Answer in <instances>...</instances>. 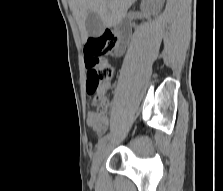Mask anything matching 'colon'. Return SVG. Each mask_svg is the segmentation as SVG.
I'll return each instance as SVG.
<instances>
[{
  "label": "colon",
  "mask_w": 223,
  "mask_h": 191,
  "mask_svg": "<svg viewBox=\"0 0 223 191\" xmlns=\"http://www.w3.org/2000/svg\"><path fill=\"white\" fill-rule=\"evenodd\" d=\"M118 42V38L112 34H103L90 37L84 47V62L88 70L86 90L89 95L96 96L101 84L112 76V67L103 60V56L112 51ZM98 98V97H97ZM108 108V102L101 99L98 113L104 115Z\"/></svg>",
  "instance_id": "5ec220e1"
}]
</instances>
